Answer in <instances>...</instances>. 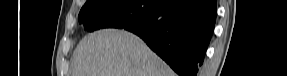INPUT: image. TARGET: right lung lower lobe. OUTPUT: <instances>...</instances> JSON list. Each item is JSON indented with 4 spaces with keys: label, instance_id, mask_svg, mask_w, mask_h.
Masks as SVG:
<instances>
[{
    "label": "right lung lower lobe",
    "instance_id": "1",
    "mask_svg": "<svg viewBox=\"0 0 287 76\" xmlns=\"http://www.w3.org/2000/svg\"><path fill=\"white\" fill-rule=\"evenodd\" d=\"M216 20L215 0H159L145 21L125 27L179 76H197Z\"/></svg>",
    "mask_w": 287,
    "mask_h": 76
}]
</instances>
